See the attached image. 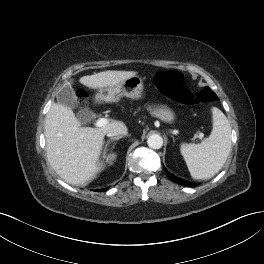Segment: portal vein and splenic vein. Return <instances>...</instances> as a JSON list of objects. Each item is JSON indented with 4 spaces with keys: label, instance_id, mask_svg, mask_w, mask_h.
Returning <instances> with one entry per match:
<instances>
[{
    "label": "portal vein and splenic vein",
    "instance_id": "portal-vein-and-splenic-vein-1",
    "mask_svg": "<svg viewBox=\"0 0 264 264\" xmlns=\"http://www.w3.org/2000/svg\"><path fill=\"white\" fill-rule=\"evenodd\" d=\"M108 124V120L106 118H100L95 122L96 127H104Z\"/></svg>",
    "mask_w": 264,
    "mask_h": 264
}]
</instances>
